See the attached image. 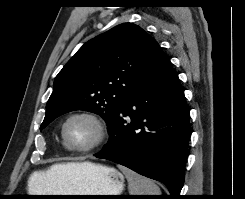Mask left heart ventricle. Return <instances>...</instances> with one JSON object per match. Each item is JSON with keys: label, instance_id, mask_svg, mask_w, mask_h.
<instances>
[{"label": "left heart ventricle", "instance_id": "left-heart-ventricle-1", "mask_svg": "<svg viewBox=\"0 0 245 199\" xmlns=\"http://www.w3.org/2000/svg\"><path fill=\"white\" fill-rule=\"evenodd\" d=\"M67 136L72 145L85 147L94 142L97 129L90 120L75 118L67 126Z\"/></svg>", "mask_w": 245, "mask_h": 199}]
</instances>
